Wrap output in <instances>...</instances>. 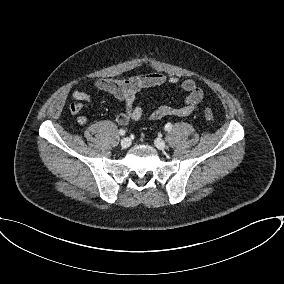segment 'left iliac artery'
<instances>
[{
	"label": "left iliac artery",
	"mask_w": 284,
	"mask_h": 284,
	"mask_svg": "<svg viewBox=\"0 0 284 284\" xmlns=\"http://www.w3.org/2000/svg\"><path fill=\"white\" fill-rule=\"evenodd\" d=\"M171 128H172V124H171V123H167V124L165 125V127H164V129H165L166 131H169Z\"/></svg>",
	"instance_id": "1"
}]
</instances>
